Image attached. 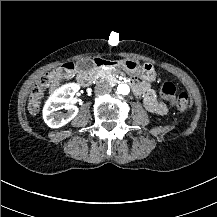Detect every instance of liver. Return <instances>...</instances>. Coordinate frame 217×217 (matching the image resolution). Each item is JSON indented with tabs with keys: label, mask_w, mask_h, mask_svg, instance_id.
<instances>
[{
	"label": "liver",
	"mask_w": 217,
	"mask_h": 217,
	"mask_svg": "<svg viewBox=\"0 0 217 217\" xmlns=\"http://www.w3.org/2000/svg\"><path fill=\"white\" fill-rule=\"evenodd\" d=\"M61 77V74L59 76V78ZM58 85V81H54V83L51 85L50 87V93H53V91L55 90L56 86Z\"/></svg>",
	"instance_id": "1"
}]
</instances>
